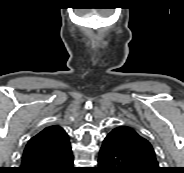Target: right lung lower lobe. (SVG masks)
Listing matches in <instances>:
<instances>
[{
  "label": "right lung lower lobe",
  "instance_id": "1",
  "mask_svg": "<svg viewBox=\"0 0 184 173\" xmlns=\"http://www.w3.org/2000/svg\"><path fill=\"white\" fill-rule=\"evenodd\" d=\"M17 173H78L71 148L61 155L22 164Z\"/></svg>",
  "mask_w": 184,
  "mask_h": 173
}]
</instances>
